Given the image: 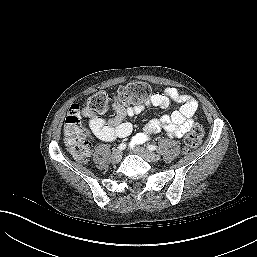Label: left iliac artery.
I'll list each match as a JSON object with an SVG mask.
<instances>
[{
  "label": "left iliac artery",
  "mask_w": 257,
  "mask_h": 257,
  "mask_svg": "<svg viewBox=\"0 0 257 257\" xmlns=\"http://www.w3.org/2000/svg\"><path fill=\"white\" fill-rule=\"evenodd\" d=\"M147 148L150 150V151H154L157 149V146L155 145H148Z\"/></svg>",
  "instance_id": "1"
}]
</instances>
